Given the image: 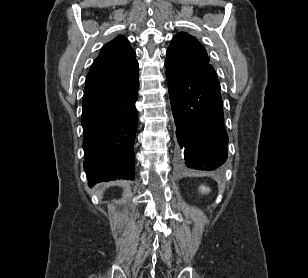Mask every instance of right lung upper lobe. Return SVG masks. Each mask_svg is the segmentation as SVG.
Returning a JSON list of instances; mask_svg holds the SVG:
<instances>
[{"mask_svg":"<svg viewBox=\"0 0 308 278\" xmlns=\"http://www.w3.org/2000/svg\"><path fill=\"white\" fill-rule=\"evenodd\" d=\"M136 53L124 36L105 44L87 74L84 93L113 90L127 85L139 73Z\"/></svg>","mask_w":308,"mask_h":278,"instance_id":"cb5924a9","label":"right lung upper lobe"}]
</instances>
